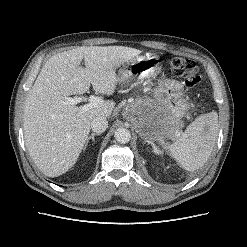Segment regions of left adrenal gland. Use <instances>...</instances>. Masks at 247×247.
<instances>
[{
    "label": "left adrenal gland",
    "mask_w": 247,
    "mask_h": 247,
    "mask_svg": "<svg viewBox=\"0 0 247 247\" xmlns=\"http://www.w3.org/2000/svg\"><path fill=\"white\" fill-rule=\"evenodd\" d=\"M147 142H148L149 144H151V146H152V148H153V150H154L155 153H158V152H159L158 147L154 144L153 141L147 140Z\"/></svg>",
    "instance_id": "1"
}]
</instances>
